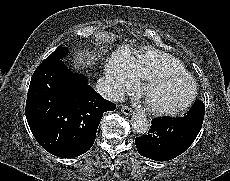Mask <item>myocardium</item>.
<instances>
[{"label": "myocardium", "mask_w": 230, "mask_h": 181, "mask_svg": "<svg viewBox=\"0 0 230 181\" xmlns=\"http://www.w3.org/2000/svg\"><path fill=\"white\" fill-rule=\"evenodd\" d=\"M166 78H183L188 80L191 84V90L187 97L176 106H160L153 104L149 100V93L151 88ZM137 91L146 100L150 110L153 113L158 115L174 116L180 114L191 105L197 94V84L195 79L184 69L178 71H160L145 79L138 86Z\"/></svg>", "instance_id": "f54148a6"}]
</instances>
